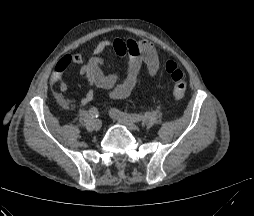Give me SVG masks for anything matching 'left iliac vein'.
<instances>
[{
  "label": "left iliac vein",
  "mask_w": 254,
  "mask_h": 216,
  "mask_svg": "<svg viewBox=\"0 0 254 216\" xmlns=\"http://www.w3.org/2000/svg\"><path fill=\"white\" fill-rule=\"evenodd\" d=\"M110 115H111V117H112L114 120H116L118 123L127 126V127H128L129 129H131V130H136V129L138 128L137 125H136L133 121H131V120H129V119H124V118L118 117V116H116V115H115L114 113H112V112H110Z\"/></svg>",
  "instance_id": "1"
}]
</instances>
